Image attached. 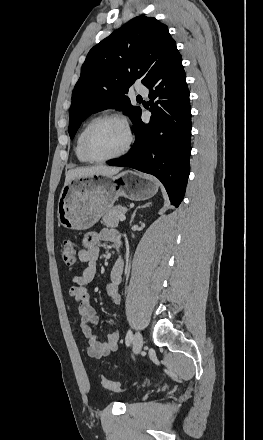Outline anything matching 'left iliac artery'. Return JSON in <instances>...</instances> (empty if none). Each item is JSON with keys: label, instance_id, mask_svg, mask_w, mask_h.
<instances>
[{"label": "left iliac artery", "instance_id": "44dca946", "mask_svg": "<svg viewBox=\"0 0 263 440\" xmlns=\"http://www.w3.org/2000/svg\"><path fill=\"white\" fill-rule=\"evenodd\" d=\"M132 339H133L132 331L128 330L127 334H126V338H125V343L127 346L130 345V342L132 341Z\"/></svg>", "mask_w": 263, "mask_h": 440}]
</instances>
